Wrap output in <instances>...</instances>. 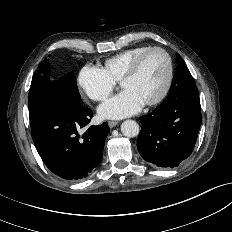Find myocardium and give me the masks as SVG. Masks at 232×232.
Returning a JSON list of instances; mask_svg holds the SVG:
<instances>
[{
    "label": "myocardium",
    "mask_w": 232,
    "mask_h": 232,
    "mask_svg": "<svg viewBox=\"0 0 232 232\" xmlns=\"http://www.w3.org/2000/svg\"><path fill=\"white\" fill-rule=\"evenodd\" d=\"M153 52H161L165 55L167 60V77L165 84L161 90V92L153 99L145 102L144 104L147 106H154L162 102L167 94L169 93V90L172 86L173 77H174V65L171 55L166 51L164 48L161 47H150L149 49L143 51L140 53L137 57L134 58V60L131 62L125 73L123 74L122 78L120 79V85H122L124 82L130 80L135 76L137 73L141 63L143 60L151 53Z\"/></svg>",
    "instance_id": "obj_1"
}]
</instances>
